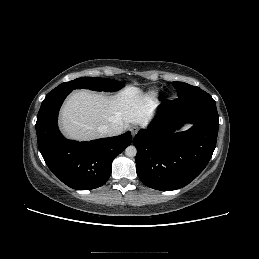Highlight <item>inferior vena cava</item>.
Wrapping results in <instances>:
<instances>
[{"label": "inferior vena cava", "instance_id": "1", "mask_svg": "<svg viewBox=\"0 0 259 259\" xmlns=\"http://www.w3.org/2000/svg\"><path fill=\"white\" fill-rule=\"evenodd\" d=\"M124 129V125L121 122H112L108 125H102L98 128L100 133L108 136L119 135L124 131Z\"/></svg>", "mask_w": 259, "mask_h": 259}]
</instances>
